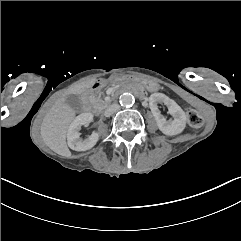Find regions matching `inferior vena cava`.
<instances>
[{
  "label": "inferior vena cava",
  "mask_w": 241,
  "mask_h": 241,
  "mask_svg": "<svg viewBox=\"0 0 241 241\" xmlns=\"http://www.w3.org/2000/svg\"><path fill=\"white\" fill-rule=\"evenodd\" d=\"M120 106L118 104H112L108 108L105 109L104 115L105 117L111 116L113 113L119 111Z\"/></svg>",
  "instance_id": "inferior-vena-cava-1"
}]
</instances>
